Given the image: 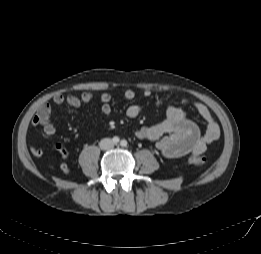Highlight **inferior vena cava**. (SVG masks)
I'll return each mask as SVG.
<instances>
[{
	"label": "inferior vena cava",
	"instance_id": "obj_1",
	"mask_svg": "<svg viewBox=\"0 0 261 254\" xmlns=\"http://www.w3.org/2000/svg\"><path fill=\"white\" fill-rule=\"evenodd\" d=\"M99 146L102 150H108L113 148L114 143L111 139L109 138H104L100 141Z\"/></svg>",
	"mask_w": 261,
	"mask_h": 254
}]
</instances>
